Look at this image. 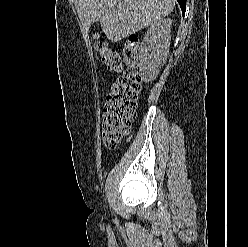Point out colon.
Here are the masks:
<instances>
[{
  "label": "colon",
  "instance_id": "1",
  "mask_svg": "<svg viewBox=\"0 0 248 247\" xmlns=\"http://www.w3.org/2000/svg\"><path fill=\"white\" fill-rule=\"evenodd\" d=\"M96 48L103 62L112 72L121 70L120 56L103 40ZM124 62L127 70L118 78L107 96L102 115V139L109 148L116 147L130 131L136 116L137 99L141 90V75L138 67V38L131 35L124 47Z\"/></svg>",
  "mask_w": 248,
  "mask_h": 247
}]
</instances>
